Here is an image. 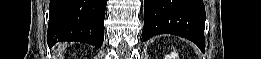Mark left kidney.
<instances>
[{
    "label": "left kidney",
    "instance_id": "5707ae66",
    "mask_svg": "<svg viewBox=\"0 0 261 59\" xmlns=\"http://www.w3.org/2000/svg\"><path fill=\"white\" fill-rule=\"evenodd\" d=\"M165 59H178V54L176 52H172L165 56Z\"/></svg>",
    "mask_w": 261,
    "mask_h": 59
}]
</instances>
